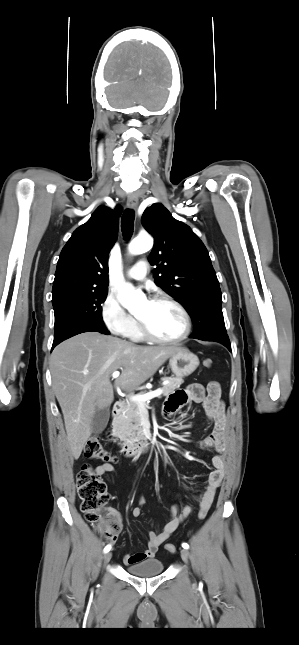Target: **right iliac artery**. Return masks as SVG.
Returning <instances> with one entry per match:
<instances>
[{
	"mask_svg": "<svg viewBox=\"0 0 299 645\" xmlns=\"http://www.w3.org/2000/svg\"><path fill=\"white\" fill-rule=\"evenodd\" d=\"M110 549H111V545H107V546L104 548V552H105V553H107V552H109V551H110Z\"/></svg>",
	"mask_w": 299,
	"mask_h": 645,
	"instance_id": "obj_1",
	"label": "right iliac artery"
}]
</instances>
